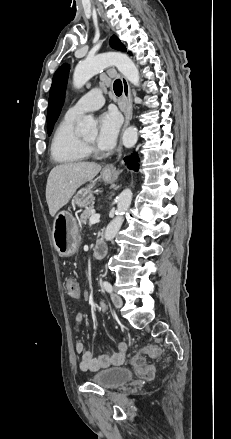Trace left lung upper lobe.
<instances>
[{"mask_svg": "<svg viewBox=\"0 0 231 439\" xmlns=\"http://www.w3.org/2000/svg\"><path fill=\"white\" fill-rule=\"evenodd\" d=\"M110 45L112 48L125 51V46L119 41L116 36H112L110 39ZM69 75V66L67 64L62 65L54 74L52 86L49 94V107L47 113V132L51 134L54 123L56 122L61 108L64 103L65 88Z\"/></svg>", "mask_w": 231, "mask_h": 439, "instance_id": "left-lung-upper-lobe-1", "label": "left lung upper lobe"}]
</instances>
